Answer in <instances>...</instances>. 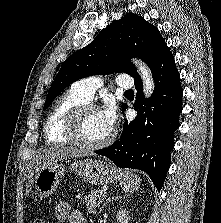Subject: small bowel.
Wrapping results in <instances>:
<instances>
[{
  "label": "small bowel",
  "mask_w": 221,
  "mask_h": 223,
  "mask_svg": "<svg viewBox=\"0 0 221 223\" xmlns=\"http://www.w3.org/2000/svg\"><path fill=\"white\" fill-rule=\"evenodd\" d=\"M55 217L58 223H88L87 219L79 211H71L67 202L57 204Z\"/></svg>",
  "instance_id": "c3829d8e"
}]
</instances>
